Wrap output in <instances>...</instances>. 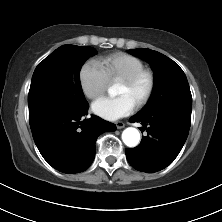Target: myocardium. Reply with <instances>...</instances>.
<instances>
[{
	"instance_id": "f54148a6",
	"label": "myocardium",
	"mask_w": 222,
	"mask_h": 222,
	"mask_svg": "<svg viewBox=\"0 0 222 222\" xmlns=\"http://www.w3.org/2000/svg\"><path fill=\"white\" fill-rule=\"evenodd\" d=\"M141 81L146 82V88L144 93L135 103L138 108L145 106L152 98L156 87L155 74L152 70L143 68L131 76L120 80L121 83L125 84L129 88H134Z\"/></svg>"
}]
</instances>
